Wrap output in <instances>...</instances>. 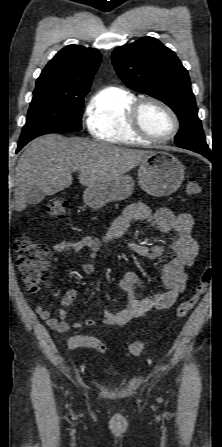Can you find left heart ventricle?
I'll return each mask as SVG.
<instances>
[{"instance_id":"b2bd125f","label":"left heart ventricle","mask_w":222,"mask_h":447,"mask_svg":"<svg viewBox=\"0 0 222 447\" xmlns=\"http://www.w3.org/2000/svg\"><path fill=\"white\" fill-rule=\"evenodd\" d=\"M140 119L144 129L156 138L168 136L173 129L170 116L161 107L152 103L143 106Z\"/></svg>"}]
</instances>
